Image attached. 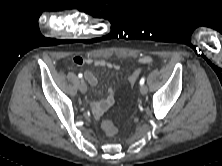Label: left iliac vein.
<instances>
[{"label":"left iliac vein","mask_w":222,"mask_h":166,"mask_svg":"<svg viewBox=\"0 0 222 166\" xmlns=\"http://www.w3.org/2000/svg\"><path fill=\"white\" fill-rule=\"evenodd\" d=\"M148 92V88L146 85H141L140 87V93L145 95Z\"/></svg>","instance_id":"4c4485c4"}]
</instances>
